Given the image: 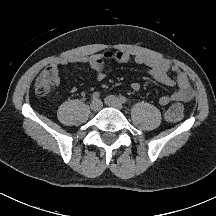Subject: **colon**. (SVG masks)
I'll list each match as a JSON object with an SVG mask.
<instances>
[{
  "instance_id": "1",
  "label": "colon",
  "mask_w": 216,
  "mask_h": 216,
  "mask_svg": "<svg viewBox=\"0 0 216 216\" xmlns=\"http://www.w3.org/2000/svg\"><path fill=\"white\" fill-rule=\"evenodd\" d=\"M54 76L50 71H43L36 79L34 84V93L43 97L53 90ZM184 107L180 102L173 103L166 112V118L170 122H177L182 119Z\"/></svg>"
}]
</instances>
